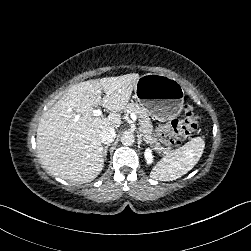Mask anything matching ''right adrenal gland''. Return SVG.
<instances>
[{
  "label": "right adrenal gland",
  "mask_w": 251,
  "mask_h": 251,
  "mask_svg": "<svg viewBox=\"0 0 251 251\" xmlns=\"http://www.w3.org/2000/svg\"><path fill=\"white\" fill-rule=\"evenodd\" d=\"M108 148H109V143L106 144V145L104 146V148H103L102 154H103V159H104V161L107 160V151H108Z\"/></svg>",
  "instance_id": "2a0ac1e0"
}]
</instances>
